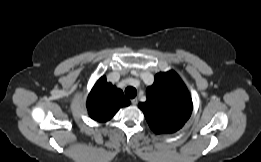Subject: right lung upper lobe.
I'll return each instance as SVG.
<instances>
[{
	"instance_id": "cb5924a9",
	"label": "right lung upper lobe",
	"mask_w": 261,
	"mask_h": 162,
	"mask_svg": "<svg viewBox=\"0 0 261 162\" xmlns=\"http://www.w3.org/2000/svg\"><path fill=\"white\" fill-rule=\"evenodd\" d=\"M129 104L122 90L108 83L105 76L96 82L87 99L89 116L98 122L110 120L121 107Z\"/></svg>"
}]
</instances>
